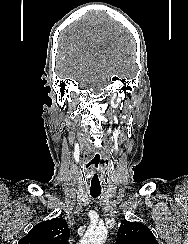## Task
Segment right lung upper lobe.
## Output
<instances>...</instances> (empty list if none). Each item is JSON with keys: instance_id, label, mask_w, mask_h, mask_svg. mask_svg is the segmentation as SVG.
I'll return each mask as SVG.
<instances>
[{"instance_id": "right-lung-upper-lobe-1", "label": "right lung upper lobe", "mask_w": 188, "mask_h": 244, "mask_svg": "<svg viewBox=\"0 0 188 244\" xmlns=\"http://www.w3.org/2000/svg\"><path fill=\"white\" fill-rule=\"evenodd\" d=\"M70 230L63 218L35 225L18 244H67Z\"/></svg>"}]
</instances>
